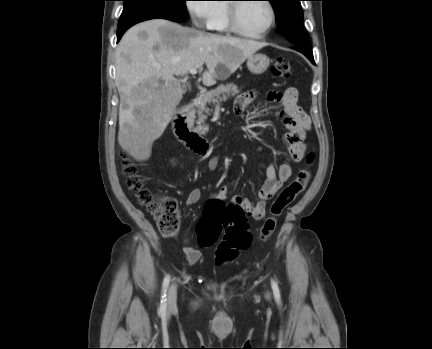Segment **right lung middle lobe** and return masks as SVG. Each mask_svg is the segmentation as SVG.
Returning a JSON list of instances; mask_svg holds the SVG:
<instances>
[{
  "label": "right lung middle lobe",
  "instance_id": "obj_1",
  "mask_svg": "<svg viewBox=\"0 0 432 349\" xmlns=\"http://www.w3.org/2000/svg\"><path fill=\"white\" fill-rule=\"evenodd\" d=\"M123 12L119 19V27L135 21L163 18L174 22H182L187 18V0H123Z\"/></svg>",
  "mask_w": 432,
  "mask_h": 349
}]
</instances>
